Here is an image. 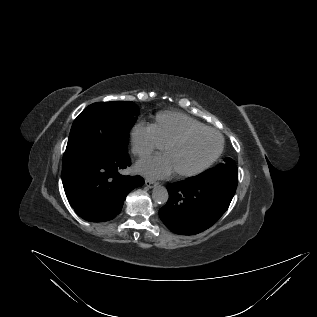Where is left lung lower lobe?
<instances>
[{
	"label": "left lung lower lobe",
	"mask_w": 317,
	"mask_h": 317,
	"mask_svg": "<svg viewBox=\"0 0 317 317\" xmlns=\"http://www.w3.org/2000/svg\"><path fill=\"white\" fill-rule=\"evenodd\" d=\"M238 180L204 173L169 184L162 222L177 234L193 235L211 227L228 209Z\"/></svg>",
	"instance_id": "left-lung-lower-lobe-1"
}]
</instances>
